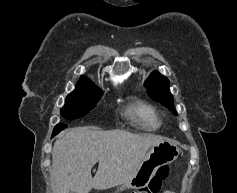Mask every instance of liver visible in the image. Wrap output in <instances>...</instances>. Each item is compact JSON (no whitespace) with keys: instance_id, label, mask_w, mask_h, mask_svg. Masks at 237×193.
<instances>
[{"instance_id":"6515ba94","label":"liver","mask_w":237,"mask_h":193,"mask_svg":"<svg viewBox=\"0 0 237 193\" xmlns=\"http://www.w3.org/2000/svg\"><path fill=\"white\" fill-rule=\"evenodd\" d=\"M164 139L125 130L81 126L67 130L52 151L53 193H89L129 182L147 151ZM99 162L94 177L91 169Z\"/></svg>"}]
</instances>
